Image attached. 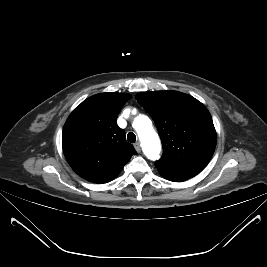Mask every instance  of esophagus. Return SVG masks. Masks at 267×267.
I'll use <instances>...</instances> for the list:
<instances>
[{"label": "esophagus", "instance_id": "34e87169", "mask_svg": "<svg viewBox=\"0 0 267 267\" xmlns=\"http://www.w3.org/2000/svg\"><path fill=\"white\" fill-rule=\"evenodd\" d=\"M134 147H135V149H136V151H137L138 153L141 152V147H140V143H139V142L135 143V144H134Z\"/></svg>", "mask_w": 267, "mask_h": 267}]
</instances>
